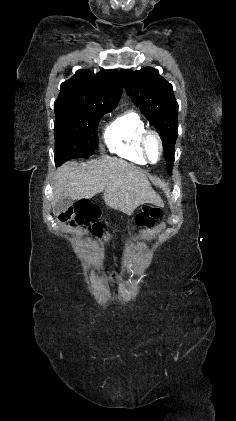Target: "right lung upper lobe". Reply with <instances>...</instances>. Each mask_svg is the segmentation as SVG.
<instances>
[{
  "label": "right lung upper lobe",
  "instance_id": "cb5924a9",
  "mask_svg": "<svg viewBox=\"0 0 236 421\" xmlns=\"http://www.w3.org/2000/svg\"><path fill=\"white\" fill-rule=\"evenodd\" d=\"M121 92L122 82L118 71L104 70L93 74L87 70H80L61 84L57 100L115 108Z\"/></svg>",
  "mask_w": 236,
  "mask_h": 421
}]
</instances>
